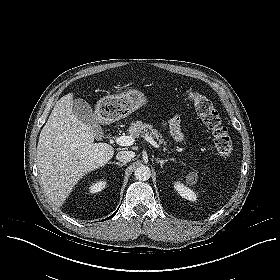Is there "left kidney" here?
<instances>
[{"label": "left kidney", "mask_w": 280, "mask_h": 280, "mask_svg": "<svg viewBox=\"0 0 280 280\" xmlns=\"http://www.w3.org/2000/svg\"><path fill=\"white\" fill-rule=\"evenodd\" d=\"M175 190L179 193L182 198H185L189 201H196L197 195L189 187L185 186L180 181L174 183Z\"/></svg>", "instance_id": "left-kidney-1"}]
</instances>
